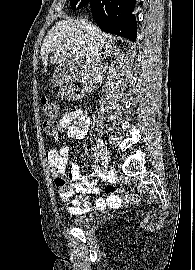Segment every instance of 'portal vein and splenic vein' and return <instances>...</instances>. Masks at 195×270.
Here are the masks:
<instances>
[{
	"instance_id": "18ae733b",
	"label": "portal vein and splenic vein",
	"mask_w": 195,
	"mask_h": 270,
	"mask_svg": "<svg viewBox=\"0 0 195 270\" xmlns=\"http://www.w3.org/2000/svg\"><path fill=\"white\" fill-rule=\"evenodd\" d=\"M70 54H71V56H74V57H78V51L77 50H75V49H72L71 51H70Z\"/></svg>"
}]
</instances>
